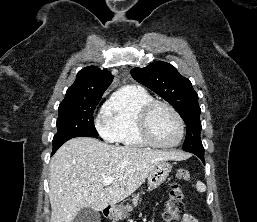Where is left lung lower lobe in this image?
I'll use <instances>...</instances> for the list:
<instances>
[{"mask_svg":"<svg viewBox=\"0 0 257 222\" xmlns=\"http://www.w3.org/2000/svg\"><path fill=\"white\" fill-rule=\"evenodd\" d=\"M193 154L197 155L202 160V162L205 164L204 153L194 152Z\"/></svg>","mask_w":257,"mask_h":222,"instance_id":"0a47b994","label":"left lung lower lobe"}]
</instances>
